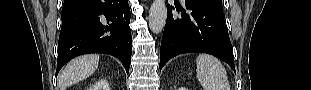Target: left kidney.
I'll return each instance as SVG.
<instances>
[{
	"instance_id": "left-kidney-1",
	"label": "left kidney",
	"mask_w": 311,
	"mask_h": 90,
	"mask_svg": "<svg viewBox=\"0 0 311 90\" xmlns=\"http://www.w3.org/2000/svg\"><path fill=\"white\" fill-rule=\"evenodd\" d=\"M179 90H187L186 88H184V87H181V88H179Z\"/></svg>"
}]
</instances>
